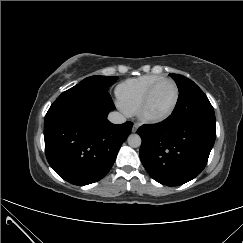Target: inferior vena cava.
I'll return each mask as SVG.
<instances>
[{"label":"inferior vena cava","mask_w":243,"mask_h":243,"mask_svg":"<svg viewBox=\"0 0 243 243\" xmlns=\"http://www.w3.org/2000/svg\"><path fill=\"white\" fill-rule=\"evenodd\" d=\"M108 119L110 122L114 123V124H122L126 121V118L124 115H122L119 112H111L108 115Z\"/></svg>","instance_id":"602c4592"}]
</instances>
